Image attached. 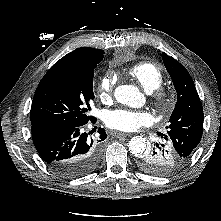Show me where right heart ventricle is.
<instances>
[{"label":"right heart ventricle","instance_id":"obj_1","mask_svg":"<svg viewBox=\"0 0 221 221\" xmlns=\"http://www.w3.org/2000/svg\"><path fill=\"white\" fill-rule=\"evenodd\" d=\"M129 74L147 91L158 89L164 80L162 69L152 62H139L128 69Z\"/></svg>","mask_w":221,"mask_h":221}]
</instances>
